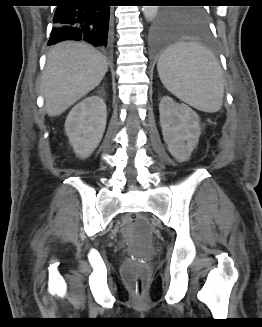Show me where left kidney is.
Instances as JSON below:
<instances>
[{"mask_svg":"<svg viewBox=\"0 0 262 327\" xmlns=\"http://www.w3.org/2000/svg\"><path fill=\"white\" fill-rule=\"evenodd\" d=\"M162 135L170 154L179 162L189 160L201 135L200 118L188 105L164 96L159 105Z\"/></svg>","mask_w":262,"mask_h":327,"instance_id":"5707ae66","label":"left kidney"}]
</instances>
